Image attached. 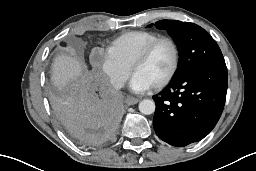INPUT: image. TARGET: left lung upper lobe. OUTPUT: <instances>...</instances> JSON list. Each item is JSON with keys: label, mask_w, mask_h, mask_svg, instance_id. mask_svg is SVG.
Here are the masks:
<instances>
[{"label": "left lung upper lobe", "mask_w": 256, "mask_h": 171, "mask_svg": "<svg viewBox=\"0 0 256 171\" xmlns=\"http://www.w3.org/2000/svg\"><path fill=\"white\" fill-rule=\"evenodd\" d=\"M155 26L167 30L178 47L180 58L173 79L196 67L225 64L220 48L202 27L177 20H160Z\"/></svg>", "instance_id": "left-lung-upper-lobe-1"}]
</instances>
